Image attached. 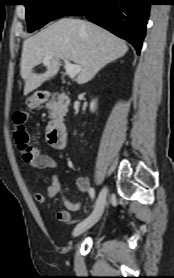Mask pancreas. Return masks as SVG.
<instances>
[{
	"label": "pancreas",
	"instance_id": "obj_1",
	"mask_svg": "<svg viewBox=\"0 0 174 278\" xmlns=\"http://www.w3.org/2000/svg\"><path fill=\"white\" fill-rule=\"evenodd\" d=\"M68 100H65V95H60L58 98V102L55 103H51L50 105V109H51V113L50 116L52 118L55 117H63L67 110H68Z\"/></svg>",
	"mask_w": 174,
	"mask_h": 278
}]
</instances>
